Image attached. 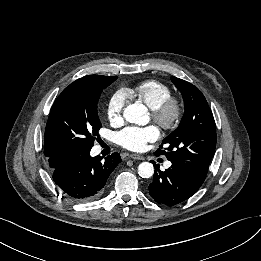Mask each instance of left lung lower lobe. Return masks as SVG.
<instances>
[{
    "label": "left lung lower lobe",
    "instance_id": "1",
    "mask_svg": "<svg viewBox=\"0 0 261 261\" xmlns=\"http://www.w3.org/2000/svg\"><path fill=\"white\" fill-rule=\"evenodd\" d=\"M204 180L179 164L172 163L169 169L162 172L155 163L154 180L149 185V194L157 203L173 206L195 194Z\"/></svg>",
    "mask_w": 261,
    "mask_h": 261
}]
</instances>
